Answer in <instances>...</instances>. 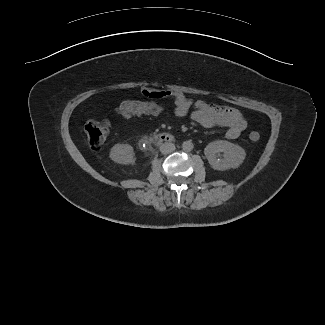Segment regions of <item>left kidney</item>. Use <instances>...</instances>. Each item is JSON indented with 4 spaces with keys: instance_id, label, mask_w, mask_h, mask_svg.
<instances>
[{
    "instance_id": "5707ae66",
    "label": "left kidney",
    "mask_w": 325,
    "mask_h": 325,
    "mask_svg": "<svg viewBox=\"0 0 325 325\" xmlns=\"http://www.w3.org/2000/svg\"><path fill=\"white\" fill-rule=\"evenodd\" d=\"M220 153H223L221 159L219 158ZM204 154L210 166L219 171L238 168L246 156L245 150L241 146L225 140L209 143L204 149Z\"/></svg>"
}]
</instances>
